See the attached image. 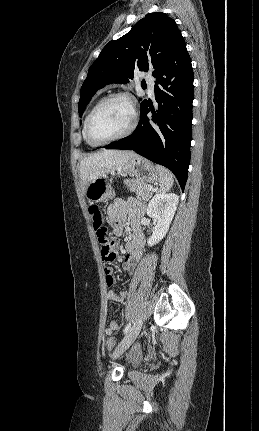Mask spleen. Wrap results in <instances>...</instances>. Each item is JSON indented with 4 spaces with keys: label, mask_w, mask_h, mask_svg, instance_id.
Segmentation results:
<instances>
[{
    "label": "spleen",
    "mask_w": 259,
    "mask_h": 431,
    "mask_svg": "<svg viewBox=\"0 0 259 431\" xmlns=\"http://www.w3.org/2000/svg\"><path fill=\"white\" fill-rule=\"evenodd\" d=\"M160 177V191L167 192L173 186V174L165 167L156 165Z\"/></svg>",
    "instance_id": "3e777b00"
}]
</instances>
